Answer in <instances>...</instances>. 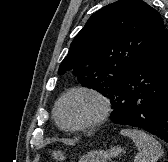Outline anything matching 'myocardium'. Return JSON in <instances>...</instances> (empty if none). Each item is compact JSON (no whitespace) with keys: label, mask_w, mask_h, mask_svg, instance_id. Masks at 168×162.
<instances>
[{"label":"myocardium","mask_w":168,"mask_h":162,"mask_svg":"<svg viewBox=\"0 0 168 162\" xmlns=\"http://www.w3.org/2000/svg\"><path fill=\"white\" fill-rule=\"evenodd\" d=\"M75 95L90 97L96 102L98 106V110L93 117H91L90 119H88L87 121L81 124L74 125V126L65 125L60 120L59 110L62 103L66 99ZM110 111H111V102L105 94L91 87L79 86V87H75L67 90L58 98L53 109V114L57 125L61 129L66 131H71V132H78V131L91 129L93 127H96L102 124L108 118Z\"/></svg>","instance_id":"obj_1"}]
</instances>
